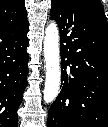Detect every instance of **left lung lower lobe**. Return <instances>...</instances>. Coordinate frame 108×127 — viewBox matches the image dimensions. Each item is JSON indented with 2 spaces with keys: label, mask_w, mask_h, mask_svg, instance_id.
<instances>
[{
  "label": "left lung lower lobe",
  "mask_w": 108,
  "mask_h": 127,
  "mask_svg": "<svg viewBox=\"0 0 108 127\" xmlns=\"http://www.w3.org/2000/svg\"><path fill=\"white\" fill-rule=\"evenodd\" d=\"M59 26L61 90L47 127H108V24L97 6L52 0Z\"/></svg>",
  "instance_id": "left-lung-lower-lobe-1"
}]
</instances>
